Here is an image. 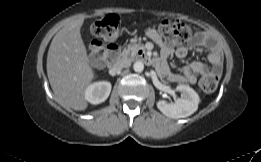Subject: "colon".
Masks as SVG:
<instances>
[{"label":"colon","instance_id":"1","mask_svg":"<svg viewBox=\"0 0 261 162\" xmlns=\"http://www.w3.org/2000/svg\"><path fill=\"white\" fill-rule=\"evenodd\" d=\"M158 30L166 42L171 45L182 44L191 39V28L179 20H164L159 24ZM95 39L92 42L91 57L95 62L101 63L106 58L104 41L112 42L120 35V18L116 14H107L95 21L91 26ZM218 80L215 75L204 74L199 78V85L206 93H212L217 87Z\"/></svg>","mask_w":261,"mask_h":162}]
</instances>
